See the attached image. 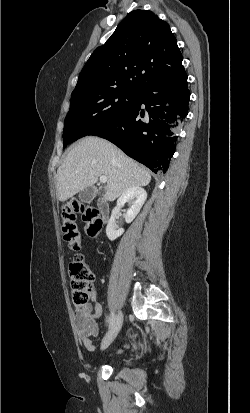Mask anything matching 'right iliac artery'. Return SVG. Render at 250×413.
<instances>
[{"instance_id": "right-iliac-artery-1", "label": "right iliac artery", "mask_w": 250, "mask_h": 413, "mask_svg": "<svg viewBox=\"0 0 250 413\" xmlns=\"http://www.w3.org/2000/svg\"><path fill=\"white\" fill-rule=\"evenodd\" d=\"M113 321H114V313L111 312V314L108 317L109 327L112 326Z\"/></svg>"}]
</instances>
